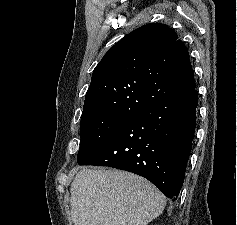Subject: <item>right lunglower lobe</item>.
Returning <instances> with one entry per match:
<instances>
[{"instance_id":"1","label":"right lung lower lobe","mask_w":237,"mask_h":225,"mask_svg":"<svg viewBox=\"0 0 237 225\" xmlns=\"http://www.w3.org/2000/svg\"><path fill=\"white\" fill-rule=\"evenodd\" d=\"M197 98L195 85L144 108L78 164L133 172L175 201L194 138Z\"/></svg>"}]
</instances>
